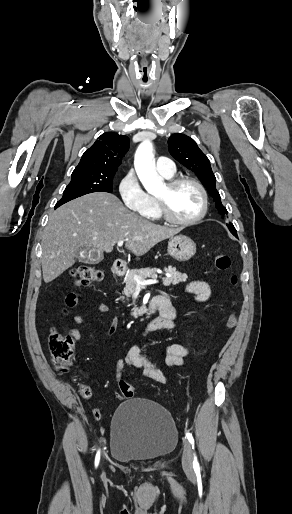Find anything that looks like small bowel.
<instances>
[{
  "instance_id": "obj_1",
  "label": "small bowel",
  "mask_w": 292,
  "mask_h": 514,
  "mask_svg": "<svg viewBox=\"0 0 292 514\" xmlns=\"http://www.w3.org/2000/svg\"><path fill=\"white\" fill-rule=\"evenodd\" d=\"M186 291L196 297L199 301L207 300L212 296L211 291L206 282L201 280H196L191 282L187 287ZM93 308L101 314H106L109 312V306L104 302H99L93 306ZM179 314L178 308L172 306L171 311L168 315L160 313L161 323L163 325V329H175L178 327L177 317ZM90 319L85 315H76L73 318L74 325H84L89 323ZM118 327L117 320H114L110 327L108 328L107 334L112 335ZM71 338L76 342H81L84 339L83 333L75 327H71L68 330ZM190 349L188 347L172 344L166 348V359L165 362L168 367L174 368L183 364L185 358L189 355ZM126 364L133 365L137 368L140 373L155 382L158 383H166L167 376L165 373L153 362L149 361L145 357L141 356L136 348L131 349L125 358H119L114 363V372H115V380L117 383H122L124 381V370ZM102 397H106L107 393L102 392ZM114 396L117 397L119 402H123L125 397L120 395L119 392H115Z\"/></svg>"
}]
</instances>
